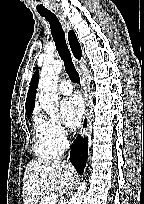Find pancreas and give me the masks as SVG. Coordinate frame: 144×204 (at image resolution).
Segmentation results:
<instances>
[{"instance_id": "obj_1", "label": "pancreas", "mask_w": 144, "mask_h": 204, "mask_svg": "<svg viewBox=\"0 0 144 204\" xmlns=\"http://www.w3.org/2000/svg\"><path fill=\"white\" fill-rule=\"evenodd\" d=\"M45 199H46V197L42 198L39 204H44Z\"/></svg>"}]
</instances>
